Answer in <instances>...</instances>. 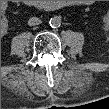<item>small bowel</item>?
<instances>
[{
	"instance_id": "obj_1",
	"label": "small bowel",
	"mask_w": 109,
	"mask_h": 109,
	"mask_svg": "<svg viewBox=\"0 0 109 109\" xmlns=\"http://www.w3.org/2000/svg\"><path fill=\"white\" fill-rule=\"evenodd\" d=\"M90 3H91L90 1H87V2H86V4H90Z\"/></svg>"
}]
</instances>
